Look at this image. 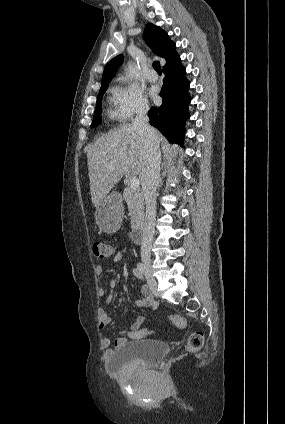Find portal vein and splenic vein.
Wrapping results in <instances>:
<instances>
[{"label": "portal vein and splenic vein", "instance_id": "18ae733b", "mask_svg": "<svg viewBox=\"0 0 285 424\" xmlns=\"http://www.w3.org/2000/svg\"><path fill=\"white\" fill-rule=\"evenodd\" d=\"M128 186L131 189H138L139 188V179L136 176H132L129 180H128Z\"/></svg>", "mask_w": 285, "mask_h": 424}]
</instances>
